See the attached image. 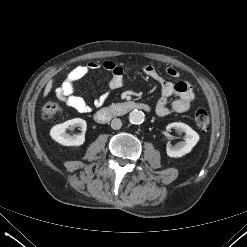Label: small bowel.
I'll list each match as a JSON object with an SVG mask.
<instances>
[{
    "mask_svg": "<svg viewBox=\"0 0 247 247\" xmlns=\"http://www.w3.org/2000/svg\"><path fill=\"white\" fill-rule=\"evenodd\" d=\"M99 68H103L111 73V78L108 82L109 91L118 90L123 86L124 72L118 64L112 61H105L103 63L90 61L86 64L78 65L71 70L62 85L55 91L58 99L79 112H89L91 107L81 96L76 94L75 84L90 71ZM166 72L172 78H177L179 75L178 71L172 67H168ZM143 73L145 76L153 79L160 85L161 97L155 106L157 115L166 116L172 112L184 113L191 108L194 100V90L191 84L185 81H165L152 65H145L143 67ZM108 95L109 92H106L96 98L94 100V105L96 107L101 106L107 100ZM171 97H175V100L170 103L169 99Z\"/></svg>",
    "mask_w": 247,
    "mask_h": 247,
    "instance_id": "1",
    "label": "small bowel"
}]
</instances>
